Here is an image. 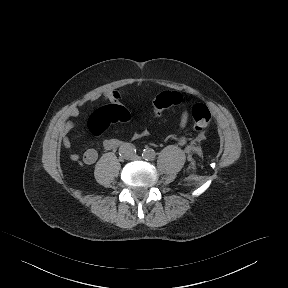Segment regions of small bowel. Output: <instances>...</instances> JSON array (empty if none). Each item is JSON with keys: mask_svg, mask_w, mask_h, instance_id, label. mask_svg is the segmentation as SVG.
<instances>
[{"mask_svg": "<svg viewBox=\"0 0 288 288\" xmlns=\"http://www.w3.org/2000/svg\"><path fill=\"white\" fill-rule=\"evenodd\" d=\"M117 146V141L116 140H107L104 142V147L107 150H111L113 148H115ZM98 154L96 152V150L94 149H88L85 151L84 155H83V161L84 163L91 165L93 163H95V161L97 160Z\"/></svg>", "mask_w": 288, "mask_h": 288, "instance_id": "small-bowel-1", "label": "small bowel"}]
</instances>
